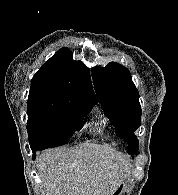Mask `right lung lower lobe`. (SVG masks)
<instances>
[{"instance_id":"1","label":"right lung lower lobe","mask_w":178,"mask_h":195,"mask_svg":"<svg viewBox=\"0 0 178 195\" xmlns=\"http://www.w3.org/2000/svg\"><path fill=\"white\" fill-rule=\"evenodd\" d=\"M32 158H33V160H34V159L36 158V155H35V154H33V157H32Z\"/></svg>"}]
</instances>
